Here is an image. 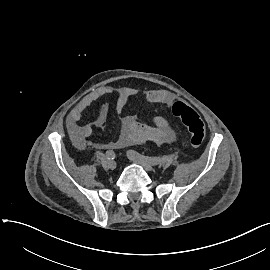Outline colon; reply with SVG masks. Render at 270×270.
Instances as JSON below:
<instances>
[{"mask_svg":"<svg viewBox=\"0 0 270 270\" xmlns=\"http://www.w3.org/2000/svg\"><path fill=\"white\" fill-rule=\"evenodd\" d=\"M169 111L186 127L191 147H200L205 138V128L195 110L183 102H175L171 105Z\"/></svg>","mask_w":270,"mask_h":270,"instance_id":"colon-1","label":"colon"}]
</instances>
